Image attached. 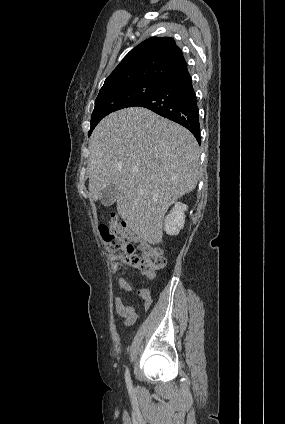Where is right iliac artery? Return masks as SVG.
<instances>
[{
  "label": "right iliac artery",
  "mask_w": 285,
  "mask_h": 424,
  "mask_svg": "<svg viewBox=\"0 0 285 424\" xmlns=\"http://www.w3.org/2000/svg\"><path fill=\"white\" fill-rule=\"evenodd\" d=\"M125 380H126L127 388L129 390H131L132 389V381H131V378H130V373H129L128 368H126V371H125Z\"/></svg>",
  "instance_id": "1"
}]
</instances>
